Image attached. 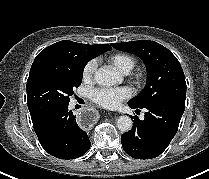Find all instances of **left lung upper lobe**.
I'll list each match as a JSON object with an SVG mask.
<instances>
[{
  "label": "left lung upper lobe",
  "instance_id": "obj_1",
  "mask_svg": "<svg viewBox=\"0 0 209 179\" xmlns=\"http://www.w3.org/2000/svg\"><path fill=\"white\" fill-rule=\"evenodd\" d=\"M114 48L133 53L143 59L148 80L145 89L129 103L143 108L158 102L185 100L186 82L177 58L155 41L140 40L111 44Z\"/></svg>",
  "mask_w": 209,
  "mask_h": 179
}]
</instances>
